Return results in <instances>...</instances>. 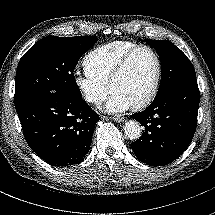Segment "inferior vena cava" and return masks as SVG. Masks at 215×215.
Returning a JSON list of instances; mask_svg holds the SVG:
<instances>
[{
	"label": "inferior vena cava",
	"instance_id": "inferior-vena-cava-1",
	"mask_svg": "<svg viewBox=\"0 0 215 215\" xmlns=\"http://www.w3.org/2000/svg\"><path fill=\"white\" fill-rule=\"evenodd\" d=\"M94 97H95V95H93V94H88V95H86V99H87L88 101H90V102L93 101Z\"/></svg>",
	"mask_w": 215,
	"mask_h": 215
}]
</instances>
